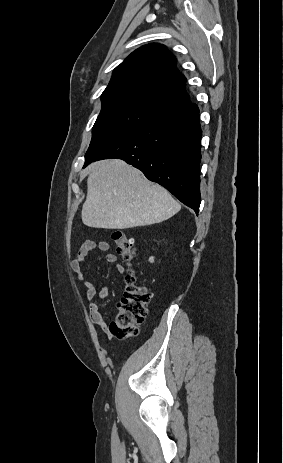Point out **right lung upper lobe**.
I'll use <instances>...</instances> for the list:
<instances>
[{
	"instance_id": "1",
	"label": "right lung upper lobe",
	"mask_w": 283,
	"mask_h": 463,
	"mask_svg": "<svg viewBox=\"0 0 283 463\" xmlns=\"http://www.w3.org/2000/svg\"><path fill=\"white\" fill-rule=\"evenodd\" d=\"M186 78L175 57L161 44L144 45L132 52L112 74L102 94H123L164 112L190 101Z\"/></svg>"
}]
</instances>
